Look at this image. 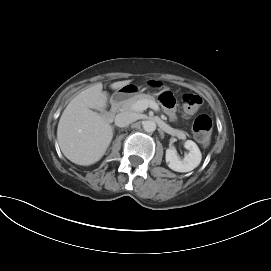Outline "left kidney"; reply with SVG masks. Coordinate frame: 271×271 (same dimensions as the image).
Returning <instances> with one entry per match:
<instances>
[{"label": "left kidney", "mask_w": 271, "mask_h": 271, "mask_svg": "<svg viewBox=\"0 0 271 271\" xmlns=\"http://www.w3.org/2000/svg\"><path fill=\"white\" fill-rule=\"evenodd\" d=\"M184 147L189 150V153L181 160L174 147L166 150V162L168 167L177 172H189L195 169L201 162V152L192 140H187Z\"/></svg>", "instance_id": "5707ae66"}]
</instances>
